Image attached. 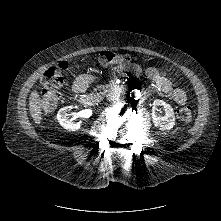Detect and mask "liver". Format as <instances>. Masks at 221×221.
Instances as JSON below:
<instances>
[{
    "label": "liver",
    "instance_id": "obj_1",
    "mask_svg": "<svg viewBox=\"0 0 221 221\" xmlns=\"http://www.w3.org/2000/svg\"><path fill=\"white\" fill-rule=\"evenodd\" d=\"M51 102V103H50ZM50 105H56V98L52 92H47V94L40 98L39 94L36 91H33L29 97V110L31 116L36 124L41 122V109H45L46 112H50L53 108H49Z\"/></svg>",
    "mask_w": 221,
    "mask_h": 221
}]
</instances>
